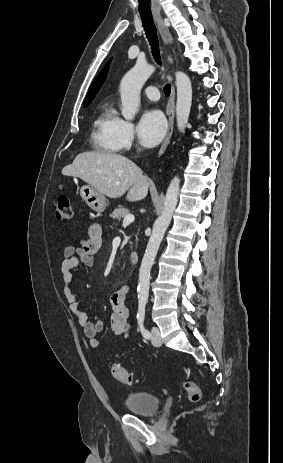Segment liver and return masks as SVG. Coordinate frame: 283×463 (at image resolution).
<instances>
[{
	"mask_svg": "<svg viewBox=\"0 0 283 463\" xmlns=\"http://www.w3.org/2000/svg\"><path fill=\"white\" fill-rule=\"evenodd\" d=\"M62 174L82 179L109 198H119L126 192L130 202L140 201L148 194L149 180L130 159L120 154L83 152Z\"/></svg>",
	"mask_w": 283,
	"mask_h": 463,
	"instance_id": "liver-1",
	"label": "liver"
}]
</instances>
